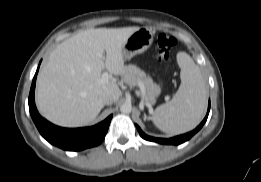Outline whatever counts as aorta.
<instances>
[{
	"label": "aorta",
	"instance_id": "1",
	"mask_svg": "<svg viewBox=\"0 0 261 182\" xmlns=\"http://www.w3.org/2000/svg\"><path fill=\"white\" fill-rule=\"evenodd\" d=\"M120 111L123 113V114H129L131 113L132 111V106L131 104L129 103H124L120 106Z\"/></svg>",
	"mask_w": 261,
	"mask_h": 182
}]
</instances>
